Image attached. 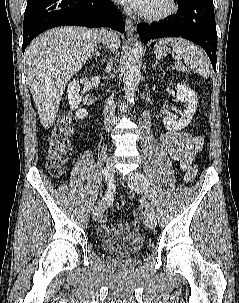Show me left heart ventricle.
Here are the masks:
<instances>
[{"label": "left heart ventricle", "mask_w": 239, "mask_h": 303, "mask_svg": "<svg viewBox=\"0 0 239 303\" xmlns=\"http://www.w3.org/2000/svg\"><path fill=\"white\" fill-rule=\"evenodd\" d=\"M164 7V0H150L144 11H156Z\"/></svg>", "instance_id": "obj_1"}]
</instances>
